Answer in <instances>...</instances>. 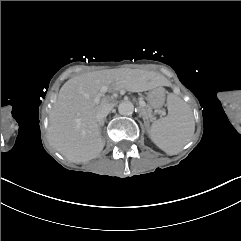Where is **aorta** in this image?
<instances>
[{
    "instance_id": "1",
    "label": "aorta",
    "mask_w": 241,
    "mask_h": 241,
    "mask_svg": "<svg viewBox=\"0 0 241 241\" xmlns=\"http://www.w3.org/2000/svg\"><path fill=\"white\" fill-rule=\"evenodd\" d=\"M118 111L121 115H131L134 111V105L130 101H123L119 104Z\"/></svg>"
}]
</instances>
